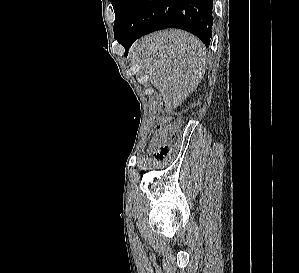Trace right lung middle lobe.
Listing matches in <instances>:
<instances>
[{
	"instance_id": "right-lung-middle-lobe-1",
	"label": "right lung middle lobe",
	"mask_w": 299,
	"mask_h": 273,
	"mask_svg": "<svg viewBox=\"0 0 299 273\" xmlns=\"http://www.w3.org/2000/svg\"><path fill=\"white\" fill-rule=\"evenodd\" d=\"M115 12L114 37L116 38L134 0H110Z\"/></svg>"
}]
</instances>
